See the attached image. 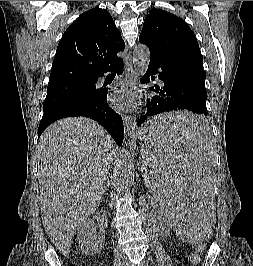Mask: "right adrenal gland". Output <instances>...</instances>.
I'll return each instance as SVG.
<instances>
[{
  "label": "right adrenal gland",
  "mask_w": 253,
  "mask_h": 266,
  "mask_svg": "<svg viewBox=\"0 0 253 266\" xmlns=\"http://www.w3.org/2000/svg\"><path fill=\"white\" fill-rule=\"evenodd\" d=\"M109 186H110V180L109 178L107 177L106 179V185H105V188H104V193L107 192L109 190Z\"/></svg>",
  "instance_id": "2a0ac1e0"
}]
</instances>
